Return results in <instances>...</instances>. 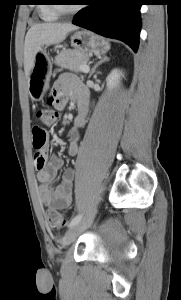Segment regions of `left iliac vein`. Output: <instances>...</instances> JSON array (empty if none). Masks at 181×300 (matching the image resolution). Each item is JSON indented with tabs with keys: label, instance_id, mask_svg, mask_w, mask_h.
<instances>
[{
	"label": "left iliac vein",
	"instance_id": "4c4485c4",
	"mask_svg": "<svg viewBox=\"0 0 181 300\" xmlns=\"http://www.w3.org/2000/svg\"><path fill=\"white\" fill-rule=\"evenodd\" d=\"M93 219V215H90L86 219L79 221L77 224L71 226L67 232L65 233L63 239H62V244L64 246L70 245L79 234H81L84 230H86Z\"/></svg>",
	"mask_w": 181,
	"mask_h": 300
}]
</instances>
